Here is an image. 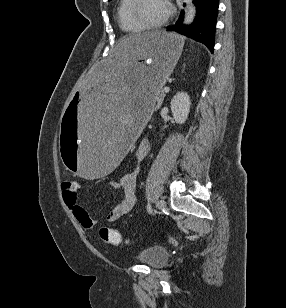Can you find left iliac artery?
<instances>
[{
    "label": "left iliac artery",
    "mask_w": 286,
    "mask_h": 308,
    "mask_svg": "<svg viewBox=\"0 0 286 308\" xmlns=\"http://www.w3.org/2000/svg\"><path fill=\"white\" fill-rule=\"evenodd\" d=\"M147 210H148L149 213H152V208H151L150 204L147 205Z\"/></svg>",
    "instance_id": "left-iliac-artery-1"
}]
</instances>
